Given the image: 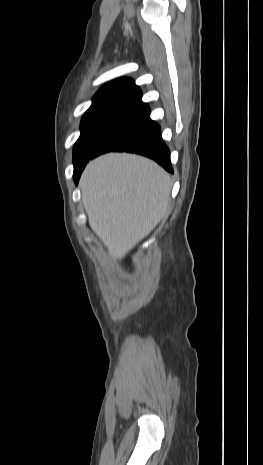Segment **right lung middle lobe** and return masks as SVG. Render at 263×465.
Here are the masks:
<instances>
[{"mask_svg": "<svg viewBox=\"0 0 263 465\" xmlns=\"http://www.w3.org/2000/svg\"><path fill=\"white\" fill-rule=\"evenodd\" d=\"M138 104L112 100L93 103L81 121V135L74 145V169L85 165L105 136Z\"/></svg>", "mask_w": 263, "mask_h": 465, "instance_id": "1", "label": "right lung middle lobe"}]
</instances>
